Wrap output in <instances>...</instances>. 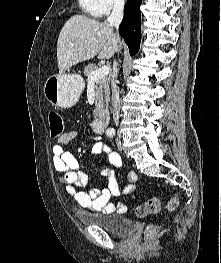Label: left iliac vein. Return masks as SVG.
<instances>
[{
  "mask_svg": "<svg viewBox=\"0 0 221 263\" xmlns=\"http://www.w3.org/2000/svg\"><path fill=\"white\" fill-rule=\"evenodd\" d=\"M117 148H118L119 150H122V143H121V140H120V139L117 140Z\"/></svg>",
  "mask_w": 221,
  "mask_h": 263,
  "instance_id": "left-iliac-vein-1",
  "label": "left iliac vein"
}]
</instances>
